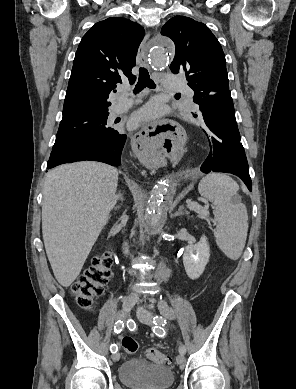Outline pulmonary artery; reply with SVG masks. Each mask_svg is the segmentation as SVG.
<instances>
[{
    "label": "pulmonary artery",
    "mask_w": 296,
    "mask_h": 389,
    "mask_svg": "<svg viewBox=\"0 0 296 389\" xmlns=\"http://www.w3.org/2000/svg\"><path fill=\"white\" fill-rule=\"evenodd\" d=\"M164 87L167 90L170 91H184L187 97L188 102L191 105H196L193 102V91L181 80L171 76L167 75L164 78L163 81ZM132 105V100L126 97L125 95H122L116 105L113 108V112L115 114H120L124 111H126L130 106Z\"/></svg>",
    "instance_id": "pulmonary-artery-1"
}]
</instances>
